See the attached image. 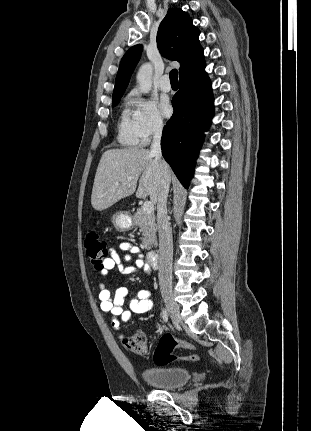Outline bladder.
I'll list each match as a JSON object with an SVG mask.
<instances>
[{"label": "bladder", "instance_id": "1", "mask_svg": "<svg viewBox=\"0 0 311 431\" xmlns=\"http://www.w3.org/2000/svg\"><path fill=\"white\" fill-rule=\"evenodd\" d=\"M141 377L152 386L171 389L186 384L191 378V373L185 367L163 365L143 369Z\"/></svg>", "mask_w": 311, "mask_h": 431}]
</instances>
